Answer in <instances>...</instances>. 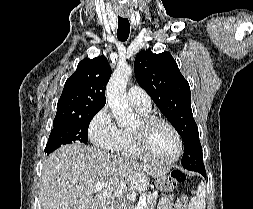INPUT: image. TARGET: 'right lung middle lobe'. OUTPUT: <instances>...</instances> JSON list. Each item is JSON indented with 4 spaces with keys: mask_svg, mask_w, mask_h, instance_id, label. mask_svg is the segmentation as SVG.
Returning a JSON list of instances; mask_svg holds the SVG:
<instances>
[{
    "mask_svg": "<svg viewBox=\"0 0 253 209\" xmlns=\"http://www.w3.org/2000/svg\"><path fill=\"white\" fill-rule=\"evenodd\" d=\"M99 110L82 115L54 120L45 152L50 154L61 145L75 142H88L89 123Z\"/></svg>",
    "mask_w": 253,
    "mask_h": 209,
    "instance_id": "obj_1",
    "label": "right lung middle lobe"
}]
</instances>
